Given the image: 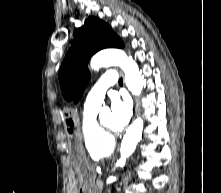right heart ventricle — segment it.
Listing matches in <instances>:
<instances>
[{
  "mask_svg": "<svg viewBox=\"0 0 221 193\" xmlns=\"http://www.w3.org/2000/svg\"><path fill=\"white\" fill-rule=\"evenodd\" d=\"M97 110H84L81 121V135L88 155L99 159L110 155L114 149L112 138L105 136L98 125Z\"/></svg>",
  "mask_w": 221,
  "mask_h": 193,
  "instance_id": "e07e8e85",
  "label": "right heart ventricle"
}]
</instances>
